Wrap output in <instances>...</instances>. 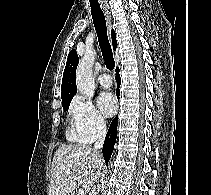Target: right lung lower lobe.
I'll return each mask as SVG.
<instances>
[{
    "label": "right lung lower lobe",
    "instance_id": "right-lung-lower-lobe-1",
    "mask_svg": "<svg viewBox=\"0 0 211 195\" xmlns=\"http://www.w3.org/2000/svg\"><path fill=\"white\" fill-rule=\"evenodd\" d=\"M116 72H117V75H116L117 86L119 88V85L121 83L120 76H119V69H117ZM118 88H117V91H116L117 96H119ZM117 123H118V121H117V117H116V118L113 119V121H112V123L109 127V130L107 132L105 142H104V145H103L102 151H103V157H104L106 164H108V161L111 157V154L113 152L114 145H115V142H116Z\"/></svg>",
    "mask_w": 211,
    "mask_h": 195
}]
</instances>
